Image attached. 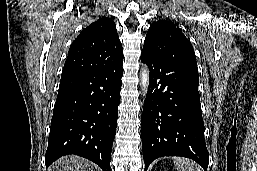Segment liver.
Wrapping results in <instances>:
<instances>
[{
    "label": "liver",
    "instance_id": "liver-1",
    "mask_svg": "<svg viewBox=\"0 0 257 171\" xmlns=\"http://www.w3.org/2000/svg\"><path fill=\"white\" fill-rule=\"evenodd\" d=\"M47 171H93V166L83 158L65 156L52 164Z\"/></svg>",
    "mask_w": 257,
    "mask_h": 171
}]
</instances>
